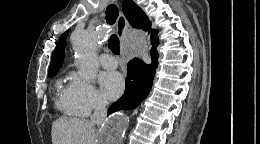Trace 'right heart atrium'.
Instances as JSON below:
<instances>
[{
	"label": "right heart atrium",
	"mask_w": 260,
	"mask_h": 144,
	"mask_svg": "<svg viewBox=\"0 0 260 144\" xmlns=\"http://www.w3.org/2000/svg\"><path fill=\"white\" fill-rule=\"evenodd\" d=\"M71 100L81 116H88L95 110L103 109L106 101L95 86L74 75L70 83Z\"/></svg>",
	"instance_id": "obj_1"
}]
</instances>
